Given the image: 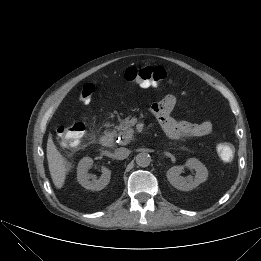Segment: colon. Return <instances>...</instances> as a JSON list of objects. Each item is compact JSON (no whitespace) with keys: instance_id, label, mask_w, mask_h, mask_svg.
Listing matches in <instances>:
<instances>
[{"instance_id":"colon-1","label":"colon","mask_w":261,"mask_h":261,"mask_svg":"<svg viewBox=\"0 0 261 261\" xmlns=\"http://www.w3.org/2000/svg\"><path fill=\"white\" fill-rule=\"evenodd\" d=\"M124 79L128 82L150 86L165 84L170 85L165 69L161 66L129 67L124 72ZM96 85L93 82L85 84L80 92V100L87 104L91 101ZM86 132V126L82 122L74 123L70 126L58 128L57 133L64 145L78 146ZM219 157L226 162L233 160L235 155L234 146L229 142H221L217 146Z\"/></svg>"}]
</instances>
